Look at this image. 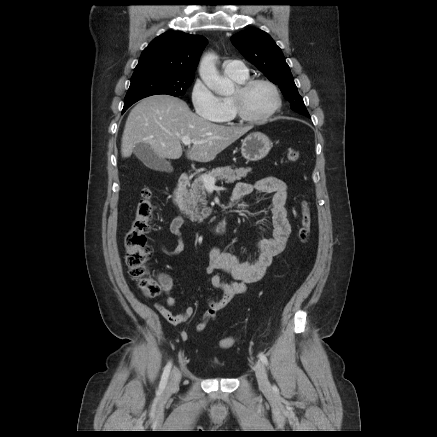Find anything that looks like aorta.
<instances>
[{"label":"aorta","mask_w":437,"mask_h":437,"mask_svg":"<svg viewBox=\"0 0 437 437\" xmlns=\"http://www.w3.org/2000/svg\"><path fill=\"white\" fill-rule=\"evenodd\" d=\"M217 56L205 54L199 66V75L205 85L219 95H229L234 92V84L228 78L221 77L216 67Z\"/></svg>","instance_id":"762f6f07"}]
</instances>
